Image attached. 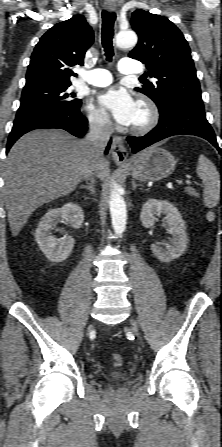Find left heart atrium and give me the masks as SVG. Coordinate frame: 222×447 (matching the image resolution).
Segmentation results:
<instances>
[{
    "instance_id": "1",
    "label": "left heart atrium",
    "mask_w": 222,
    "mask_h": 447,
    "mask_svg": "<svg viewBox=\"0 0 222 447\" xmlns=\"http://www.w3.org/2000/svg\"><path fill=\"white\" fill-rule=\"evenodd\" d=\"M100 106L123 126H131L136 117L137 104L124 89L111 88L99 96Z\"/></svg>"
}]
</instances>
